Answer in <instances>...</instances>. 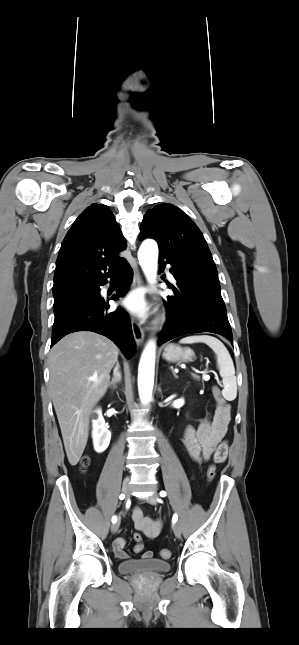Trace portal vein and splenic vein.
<instances>
[{
    "label": "portal vein and splenic vein",
    "instance_id": "obj_1",
    "mask_svg": "<svg viewBox=\"0 0 299 645\" xmlns=\"http://www.w3.org/2000/svg\"><path fill=\"white\" fill-rule=\"evenodd\" d=\"M204 378H205V380H208L209 376L206 375V376H204ZM94 381L96 382V380H94Z\"/></svg>",
    "mask_w": 299,
    "mask_h": 645
}]
</instances>
